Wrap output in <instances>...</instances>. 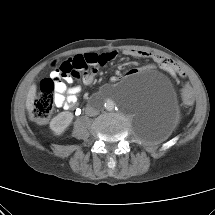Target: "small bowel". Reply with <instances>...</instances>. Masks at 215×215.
Returning <instances> with one entry per match:
<instances>
[{
	"label": "small bowel",
	"instance_id": "obj_1",
	"mask_svg": "<svg viewBox=\"0 0 215 215\" xmlns=\"http://www.w3.org/2000/svg\"><path fill=\"white\" fill-rule=\"evenodd\" d=\"M116 51H108L104 53H94L88 52L81 55H77L74 58L69 59L73 61L75 58H79L83 63V69L80 70V73L77 77L73 76H64L60 77L56 81L55 85V104L57 107H62L66 110L75 108L79 100V94L81 92V87L79 85L67 86L66 83L72 84L74 78H80L82 83L89 85L93 83L98 69L110 61L114 60L117 57ZM124 54L134 58H151L155 62L159 63L163 68L169 67V60L164 57L156 56L154 54L140 51V50H125ZM57 73L55 70L51 72V76H56ZM64 81H63V80ZM119 80L118 76L111 77V81L116 82Z\"/></svg>",
	"mask_w": 215,
	"mask_h": 215
}]
</instances>
